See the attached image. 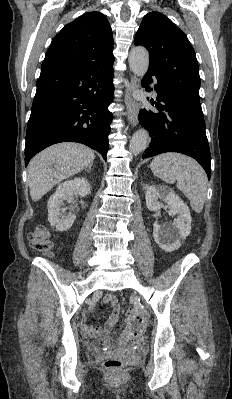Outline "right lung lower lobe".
Listing matches in <instances>:
<instances>
[{"label":"right lung lower lobe","mask_w":232,"mask_h":399,"mask_svg":"<svg viewBox=\"0 0 232 399\" xmlns=\"http://www.w3.org/2000/svg\"><path fill=\"white\" fill-rule=\"evenodd\" d=\"M113 60L79 68L41 69L28 121L25 164L59 142H79L106 160L113 115Z\"/></svg>","instance_id":"right-lung-lower-lobe-1"}]
</instances>
